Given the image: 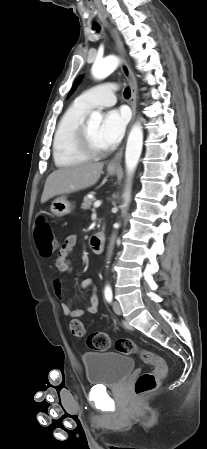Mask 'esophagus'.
<instances>
[{
  "instance_id": "obj_1",
  "label": "esophagus",
  "mask_w": 207,
  "mask_h": 449,
  "mask_svg": "<svg viewBox=\"0 0 207 449\" xmlns=\"http://www.w3.org/2000/svg\"><path fill=\"white\" fill-rule=\"evenodd\" d=\"M110 32L115 40L118 53L121 57L122 72L131 87L130 106L132 109V119H133L135 116V112H136L137 87H138L137 81H136V78H135L132 70L129 68V66L125 60V50H124L123 43L120 39V36L118 35V33L115 29H110ZM123 148L124 147H121L119 149V151L116 153L115 157L109 162V164H108L109 168H116V167L120 166V161H121V158L123 155Z\"/></svg>"
}]
</instances>
